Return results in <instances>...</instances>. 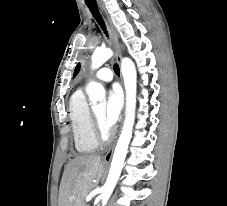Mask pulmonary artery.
I'll return each mask as SVG.
<instances>
[{
  "mask_svg": "<svg viewBox=\"0 0 227 206\" xmlns=\"http://www.w3.org/2000/svg\"><path fill=\"white\" fill-rule=\"evenodd\" d=\"M94 77L99 81L110 82L113 79V72L111 69L104 67L97 71Z\"/></svg>",
  "mask_w": 227,
  "mask_h": 206,
  "instance_id": "e3ab8cb5",
  "label": "pulmonary artery"
}]
</instances>
